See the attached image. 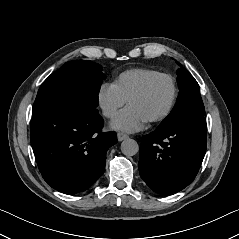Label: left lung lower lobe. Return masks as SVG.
Returning <instances> with one entry per match:
<instances>
[{
  "mask_svg": "<svg viewBox=\"0 0 239 239\" xmlns=\"http://www.w3.org/2000/svg\"><path fill=\"white\" fill-rule=\"evenodd\" d=\"M207 124L202 115H189L145 135L140 147L139 172L154 192L181 191L197 175L207 147Z\"/></svg>",
  "mask_w": 239,
  "mask_h": 239,
  "instance_id": "left-lung-lower-lobe-1",
  "label": "left lung lower lobe"
}]
</instances>
